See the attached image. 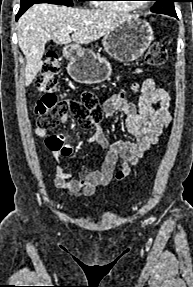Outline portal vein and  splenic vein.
I'll return each mask as SVG.
<instances>
[{"instance_id": "obj_1", "label": "portal vein and splenic vein", "mask_w": 193, "mask_h": 287, "mask_svg": "<svg viewBox=\"0 0 193 287\" xmlns=\"http://www.w3.org/2000/svg\"><path fill=\"white\" fill-rule=\"evenodd\" d=\"M70 31H71V32H72V31H76V29H75V28H71Z\"/></svg>"}]
</instances>
